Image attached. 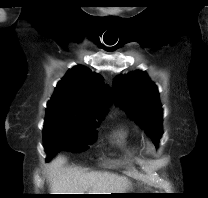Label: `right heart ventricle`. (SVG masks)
<instances>
[{
  "mask_svg": "<svg viewBox=\"0 0 208 198\" xmlns=\"http://www.w3.org/2000/svg\"><path fill=\"white\" fill-rule=\"evenodd\" d=\"M115 137L119 140H125L128 137V131L126 129H118L115 132Z\"/></svg>",
  "mask_w": 208,
  "mask_h": 198,
  "instance_id": "e07e8e85",
  "label": "right heart ventricle"
}]
</instances>
